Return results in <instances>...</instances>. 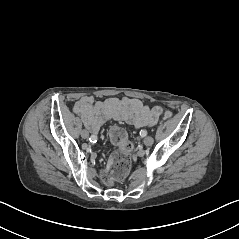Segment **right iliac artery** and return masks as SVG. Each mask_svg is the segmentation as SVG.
Here are the masks:
<instances>
[{
    "instance_id": "1",
    "label": "right iliac artery",
    "mask_w": 239,
    "mask_h": 239,
    "mask_svg": "<svg viewBox=\"0 0 239 239\" xmlns=\"http://www.w3.org/2000/svg\"><path fill=\"white\" fill-rule=\"evenodd\" d=\"M90 140H91V142H96L97 141V137L95 135H92Z\"/></svg>"
}]
</instances>
